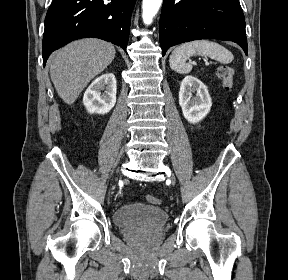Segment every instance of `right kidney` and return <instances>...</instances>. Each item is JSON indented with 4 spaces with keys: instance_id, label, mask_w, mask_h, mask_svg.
<instances>
[{
    "instance_id": "obj_1",
    "label": "right kidney",
    "mask_w": 288,
    "mask_h": 280,
    "mask_svg": "<svg viewBox=\"0 0 288 280\" xmlns=\"http://www.w3.org/2000/svg\"><path fill=\"white\" fill-rule=\"evenodd\" d=\"M116 78L105 73L95 79L84 93L83 104L89 113L106 114L116 103Z\"/></svg>"
}]
</instances>
